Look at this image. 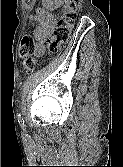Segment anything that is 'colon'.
I'll list each match as a JSON object with an SVG mask.
<instances>
[{
	"instance_id": "obj_1",
	"label": "colon",
	"mask_w": 123,
	"mask_h": 167,
	"mask_svg": "<svg viewBox=\"0 0 123 167\" xmlns=\"http://www.w3.org/2000/svg\"><path fill=\"white\" fill-rule=\"evenodd\" d=\"M77 13L76 0H66L62 7L61 19L57 25L54 35L49 39L48 48L50 52H56L62 48L70 39L74 18ZM34 40L31 35L22 37L19 46V55L23 58V70L26 74L34 71L37 61L33 57Z\"/></svg>"
}]
</instances>
